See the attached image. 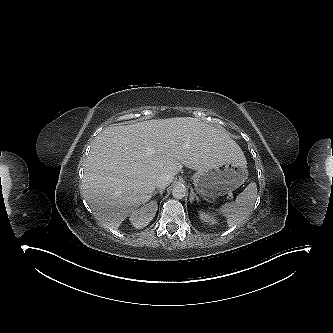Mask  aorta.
Masks as SVG:
<instances>
[{
	"instance_id": "1",
	"label": "aorta",
	"mask_w": 333,
	"mask_h": 333,
	"mask_svg": "<svg viewBox=\"0 0 333 333\" xmlns=\"http://www.w3.org/2000/svg\"><path fill=\"white\" fill-rule=\"evenodd\" d=\"M186 195V187L183 184H176L172 189V196L175 199H182Z\"/></svg>"
}]
</instances>
